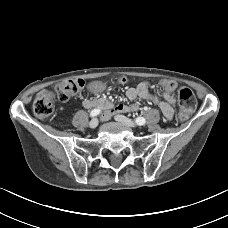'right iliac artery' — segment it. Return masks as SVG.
Listing matches in <instances>:
<instances>
[{
    "instance_id": "right-iliac-artery-1",
    "label": "right iliac artery",
    "mask_w": 228,
    "mask_h": 228,
    "mask_svg": "<svg viewBox=\"0 0 228 228\" xmlns=\"http://www.w3.org/2000/svg\"><path fill=\"white\" fill-rule=\"evenodd\" d=\"M100 109H93L91 112H90V116L91 117H95L97 116L99 113H100Z\"/></svg>"
}]
</instances>
